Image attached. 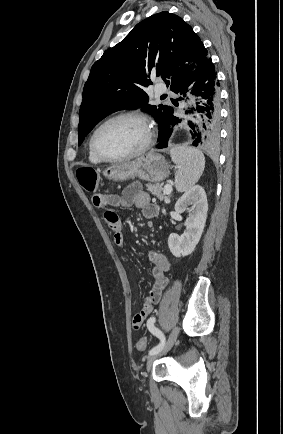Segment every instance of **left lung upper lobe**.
Wrapping results in <instances>:
<instances>
[{
	"label": "left lung upper lobe",
	"mask_w": 283,
	"mask_h": 434,
	"mask_svg": "<svg viewBox=\"0 0 283 434\" xmlns=\"http://www.w3.org/2000/svg\"><path fill=\"white\" fill-rule=\"evenodd\" d=\"M208 59L200 37L181 17L164 11L141 21L93 64L83 89L78 145L109 114L139 107L157 119L160 136L173 108L148 103L151 78L162 77L173 89Z\"/></svg>",
	"instance_id": "5c2ea615"
}]
</instances>
